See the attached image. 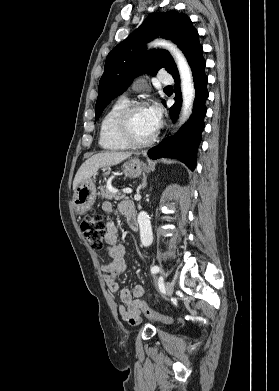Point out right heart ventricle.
Returning a JSON list of instances; mask_svg holds the SVG:
<instances>
[{
	"instance_id": "right-heart-ventricle-1",
	"label": "right heart ventricle",
	"mask_w": 279,
	"mask_h": 391,
	"mask_svg": "<svg viewBox=\"0 0 279 391\" xmlns=\"http://www.w3.org/2000/svg\"><path fill=\"white\" fill-rule=\"evenodd\" d=\"M127 103L128 99L121 97L105 112L100 123L99 131V144L101 148L110 151H119L129 148V146L119 138L116 131L117 116Z\"/></svg>"
}]
</instances>
